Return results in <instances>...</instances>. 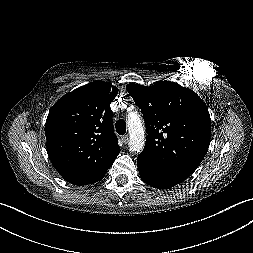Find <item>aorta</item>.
Listing matches in <instances>:
<instances>
[{
  "mask_svg": "<svg viewBox=\"0 0 253 253\" xmlns=\"http://www.w3.org/2000/svg\"><path fill=\"white\" fill-rule=\"evenodd\" d=\"M127 124L130 136L129 150L139 153L145 145V133L139 115L134 113L130 115Z\"/></svg>",
  "mask_w": 253,
  "mask_h": 253,
  "instance_id": "1",
  "label": "aorta"
}]
</instances>
